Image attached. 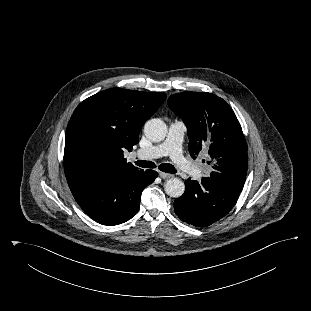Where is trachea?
I'll return each instance as SVG.
<instances>
[{
    "instance_id": "1",
    "label": "trachea",
    "mask_w": 311,
    "mask_h": 311,
    "mask_svg": "<svg viewBox=\"0 0 311 311\" xmlns=\"http://www.w3.org/2000/svg\"><path fill=\"white\" fill-rule=\"evenodd\" d=\"M135 165L142 167V168H155L156 165L154 162L151 161H145V160H138L135 162ZM159 169L163 172L166 173H176L177 170L175 169V167L172 164L169 163H162L159 165Z\"/></svg>"
}]
</instances>
